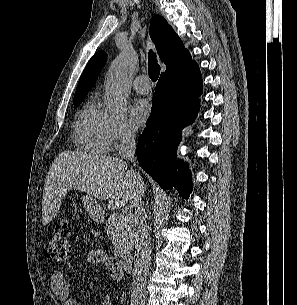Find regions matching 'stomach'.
<instances>
[{
	"instance_id": "obj_1",
	"label": "stomach",
	"mask_w": 297,
	"mask_h": 305,
	"mask_svg": "<svg viewBox=\"0 0 297 305\" xmlns=\"http://www.w3.org/2000/svg\"><path fill=\"white\" fill-rule=\"evenodd\" d=\"M82 202L84 204L87 213L89 214V216L93 221L102 222L104 220L103 209L92 196L90 195L83 196Z\"/></svg>"
}]
</instances>
